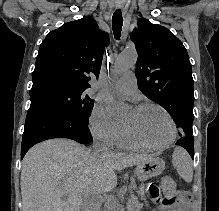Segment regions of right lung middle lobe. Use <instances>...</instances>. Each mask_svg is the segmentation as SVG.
I'll list each match as a JSON object with an SVG mask.
<instances>
[{"mask_svg":"<svg viewBox=\"0 0 219 211\" xmlns=\"http://www.w3.org/2000/svg\"><path fill=\"white\" fill-rule=\"evenodd\" d=\"M84 90L62 84H49L30 92L31 102L48 101L67 111L73 117L88 122L93 100L83 94Z\"/></svg>","mask_w":219,"mask_h":211,"instance_id":"obj_1","label":"right lung middle lobe"}]
</instances>
